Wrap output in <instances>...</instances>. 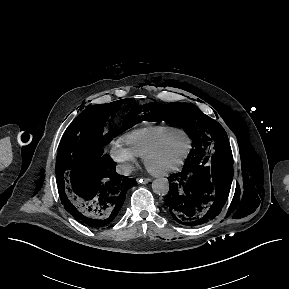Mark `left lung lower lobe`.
Instances as JSON below:
<instances>
[{
    "label": "left lung lower lobe",
    "instance_id": "left-lung-lower-lobe-1",
    "mask_svg": "<svg viewBox=\"0 0 289 289\" xmlns=\"http://www.w3.org/2000/svg\"><path fill=\"white\" fill-rule=\"evenodd\" d=\"M233 175L232 166L219 168L206 156L188 157L183 170L170 176L168 212L189 227L209 222L225 205Z\"/></svg>",
    "mask_w": 289,
    "mask_h": 289
}]
</instances>
